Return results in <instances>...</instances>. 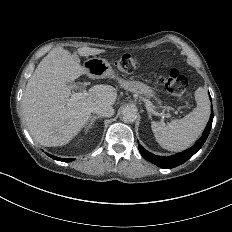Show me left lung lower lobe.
<instances>
[{"instance_id":"0a47b994","label":"left lung lower lobe","mask_w":232,"mask_h":232,"mask_svg":"<svg viewBox=\"0 0 232 232\" xmlns=\"http://www.w3.org/2000/svg\"><path fill=\"white\" fill-rule=\"evenodd\" d=\"M212 121H213V109L211 110L210 119L207 123L205 130L202 133V136L196 141V143L191 148H188L187 150L181 153H178L172 156H167V157L157 156V155H154L148 152L146 149H144V147H142L138 143L139 151L146 160L155 164L158 167H161L164 169H171V168L177 167L183 164L184 162H186L203 146L211 130Z\"/></svg>"}]
</instances>
